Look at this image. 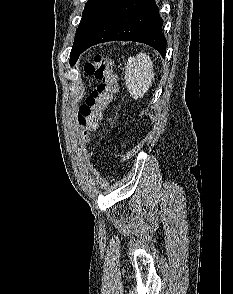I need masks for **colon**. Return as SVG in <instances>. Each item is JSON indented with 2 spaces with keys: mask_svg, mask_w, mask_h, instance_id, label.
Wrapping results in <instances>:
<instances>
[{
  "mask_svg": "<svg viewBox=\"0 0 233 294\" xmlns=\"http://www.w3.org/2000/svg\"><path fill=\"white\" fill-rule=\"evenodd\" d=\"M85 74L94 77L98 84L81 105L76 116V122L82 130L84 139L89 132L97 128L102 112L117 90V78L112 71V61L109 58L95 54L85 65Z\"/></svg>",
  "mask_w": 233,
  "mask_h": 294,
  "instance_id": "1",
  "label": "colon"
}]
</instances>
